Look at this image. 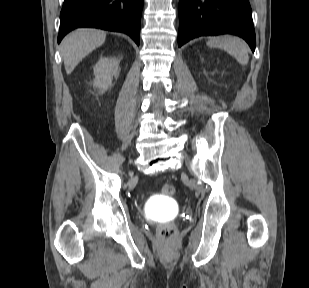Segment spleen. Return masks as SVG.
Listing matches in <instances>:
<instances>
[{
  "label": "spleen",
  "instance_id": "obj_1",
  "mask_svg": "<svg viewBox=\"0 0 309 288\" xmlns=\"http://www.w3.org/2000/svg\"><path fill=\"white\" fill-rule=\"evenodd\" d=\"M207 45L210 47L223 49L232 55L241 65H247L249 61L248 46L242 39L238 37H211L207 41Z\"/></svg>",
  "mask_w": 309,
  "mask_h": 288
}]
</instances>
